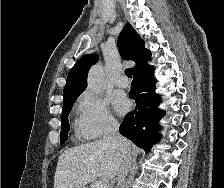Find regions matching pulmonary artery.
Listing matches in <instances>:
<instances>
[{"instance_id":"e3ab8cb5","label":"pulmonary artery","mask_w":224,"mask_h":188,"mask_svg":"<svg viewBox=\"0 0 224 188\" xmlns=\"http://www.w3.org/2000/svg\"><path fill=\"white\" fill-rule=\"evenodd\" d=\"M115 84L118 87L126 88L129 85V80L125 75H121L116 79Z\"/></svg>"}]
</instances>
